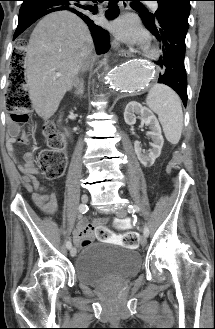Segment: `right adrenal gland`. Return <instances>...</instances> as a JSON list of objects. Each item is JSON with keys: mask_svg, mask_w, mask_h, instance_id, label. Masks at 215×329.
<instances>
[{"mask_svg": "<svg viewBox=\"0 0 215 329\" xmlns=\"http://www.w3.org/2000/svg\"><path fill=\"white\" fill-rule=\"evenodd\" d=\"M84 93V83H83V80H81V85L80 87H78L75 91H74V94L76 96H82Z\"/></svg>", "mask_w": 215, "mask_h": 329, "instance_id": "obj_1", "label": "right adrenal gland"}]
</instances>
